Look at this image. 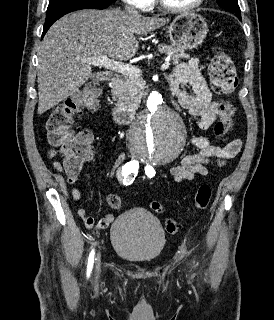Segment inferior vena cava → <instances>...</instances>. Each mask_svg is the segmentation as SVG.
<instances>
[{
  "mask_svg": "<svg viewBox=\"0 0 274 320\" xmlns=\"http://www.w3.org/2000/svg\"><path fill=\"white\" fill-rule=\"evenodd\" d=\"M124 12L129 14V16H139L137 10H135V8H129V6H125Z\"/></svg>",
  "mask_w": 274,
  "mask_h": 320,
  "instance_id": "602c4592",
  "label": "inferior vena cava"
}]
</instances>
